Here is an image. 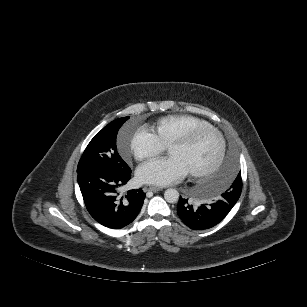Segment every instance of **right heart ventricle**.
I'll use <instances>...</instances> for the list:
<instances>
[{
	"label": "right heart ventricle",
	"mask_w": 307,
	"mask_h": 307,
	"mask_svg": "<svg viewBox=\"0 0 307 307\" xmlns=\"http://www.w3.org/2000/svg\"><path fill=\"white\" fill-rule=\"evenodd\" d=\"M203 126H210L206 120L189 114L167 115L157 120L154 129L159 140L168 146L182 134Z\"/></svg>",
	"instance_id": "obj_1"
}]
</instances>
